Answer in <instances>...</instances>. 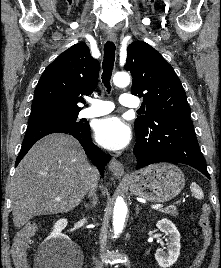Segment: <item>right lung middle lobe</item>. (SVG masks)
<instances>
[{
    "instance_id": "obj_1",
    "label": "right lung middle lobe",
    "mask_w": 221,
    "mask_h": 268,
    "mask_svg": "<svg viewBox=\"0 0 221 268\" xmlns=\"http://www.w3.org/2000/svg\"><path fill=\"white\" fill-rule=\"evenodd\" d=\"M78 113H65V114H57L51 116H43V117H30L28 121V125L42 122H51V123H59L70 126H83L86 125L82 122L77 121Z\"/></svg>"
}]
</instances>
